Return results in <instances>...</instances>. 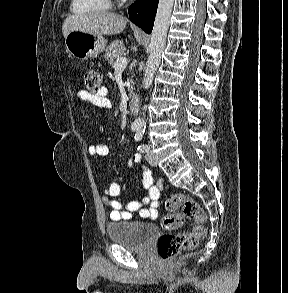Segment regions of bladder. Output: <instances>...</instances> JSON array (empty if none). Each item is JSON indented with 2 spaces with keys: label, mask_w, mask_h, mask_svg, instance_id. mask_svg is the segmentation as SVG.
Instances as JSON below:
<instances>
[{
  "label": "bladder",
  "mask_w": 288,
  "mask_h": 293,
  "mask_svg": "<svg viewBox=\"0 0 288 293\" xmlns=\"http://www.w3.org/2000/svg\"><path fill=\"white\" fill-rule=\"evenodd\" d=\"M106 231L113 243L134 250L145 248L159 232L154 224L146 222H111Z\"/></svg>",
  "instance_id": "31cf9c89"
}]
</instances>
